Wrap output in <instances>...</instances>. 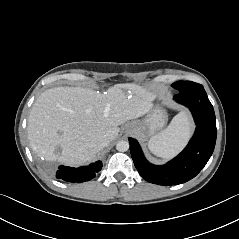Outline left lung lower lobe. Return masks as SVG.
I'll list each match as a JSON object with an SVG mask.
<instances>
[{"label":"left lung lower lobe","mask_w":239,"mask_h":239,"mask_svg":"<svg viewBox=\"0 0 239 239\" xmlns=\"http://www.w3.org/2000/svg\"><path fill=\"white\" fill-rule=\"evenodd\" d=\"M176 102L188 107L196 123L195 134L187 147L165 165L150 164L135 139L129 138L130 152L140 175L150 183L177 185L194 178L206 165L216 143V119L204 88L178 93Z\"/></svg>","instance_id":"0a47b994"}]
</instances>
